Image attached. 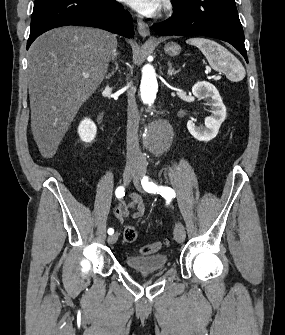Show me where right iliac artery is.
Here are the masks:
<instances>
[{
	"label": "right iliac artery",
	"mask_w": 285,
	"mask_h": 335,
	"mask_svg": "<svg viewBox=\"0 0 285 335\" xmlns=\"http://www.w3.org/2000/svg\"><path fill=\"white\" fill-rule=\"evenodd\" d=\"M115 195L117 198H122L125 195V189L123 186H120L116 189ZM114 233V230L112 228L108 229V234L112 235Z\"/></svg>",
	"instance_id": "82829eb1"
}]
</instances>
